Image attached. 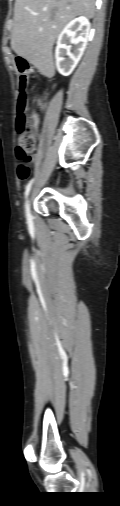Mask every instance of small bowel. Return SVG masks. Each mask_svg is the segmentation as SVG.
<instances>
[{
  "label": "small bowel",
  "instance_id": "small-bowel-1",
  "mask_svg": "<svg viewBox=\"0 0 120 506\" xmlns=\"http://www.w3.org/2000/svg\"><path fill=\"white\" fill-rule=\"evenodd\" d=\"M38 105L40 108H45V104L38 101ZM34 118H35V126L37 127L38 123H39V117L38 115H34Z\"/></svg>",
  "mask_w": 120,
  "mask_h": 506
}]
</instances>
